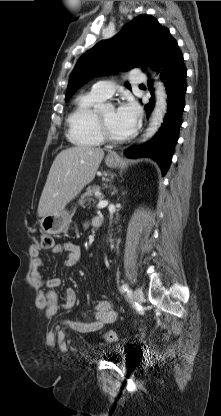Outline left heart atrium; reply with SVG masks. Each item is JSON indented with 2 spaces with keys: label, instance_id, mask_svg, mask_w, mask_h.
<instances>
[{
  "label": "left heart atrium",
  "instance_id": "39dd6f15",
  "mask_svg": "<svg viewBox=\"0 0 221 416\" xmlns=\"http://www.w3.org/2000/svg\"><path fill=\"white\" fill-rule=\"evenodd\" d=\"M116 116L122 130L128 136L132 134L137 127L140 110L134 101L127 100L118 107Z\"/></svg>",
  "mask_w": 221,
  "mask_h": 416
}]
</instances>
